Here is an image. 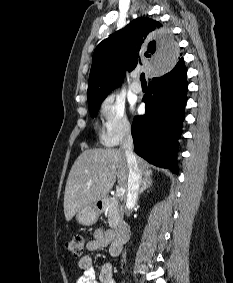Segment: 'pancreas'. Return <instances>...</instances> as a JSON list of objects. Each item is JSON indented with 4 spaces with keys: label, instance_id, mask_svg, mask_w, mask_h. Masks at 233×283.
I'll return each mask as SVG.
<instances>
[{
    "label": "pancreas",
    "instance_id": "obj_1",
    "mask_svg": "<svg viewBox=\"0 0 233 283\" xmlns=\"http://www.w3.org/2000/svg\"><path fill=\"white\" fill-rule=\"evenodd\" d=\"M108 214V223L112 229H116L122 219V207L116 197L111 198L110 206L106 210Z\"/></svg>",
    "mask_w": 233,
    "mask_h": 283
}]
</instances>
